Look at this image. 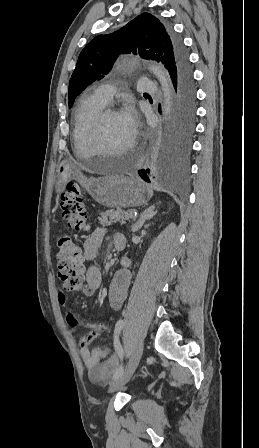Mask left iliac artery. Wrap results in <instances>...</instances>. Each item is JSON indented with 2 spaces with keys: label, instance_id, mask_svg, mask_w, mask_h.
I'll return each mask as SVG.
<instances>
[{
  "label": "left iliac artery",
  "instance_id": "left-iliac-artery-1",
  "mask_svg": "<svg viewBox=\"0 0 259 448\" xmlns=\"http://www.w3.org/2000/svg\"><path fill=\"white\" fill-rule=\"evenodd\" d=\"M125 325V321L124 320H119L116 325H115V330H114V348L115 351L117 353V355L119 356V358L121 360H123L124 357V351L122 348V345L119 341V334L121 332V330L123 329ZM123 374V367H120L113 375V379L116 380L117 378H119L121 375Z\"/></svg>",
  "mask_w": 259,
  "mask_h": 448
}]
</instances>
